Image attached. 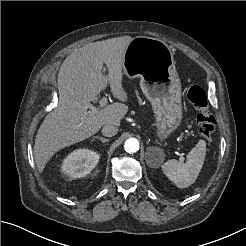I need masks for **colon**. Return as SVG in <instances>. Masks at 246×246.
Returning <instances> with one entry per match:
<instances>
[{
	"label": "colon",
	"mask_w": 246,
	"mask_h": 246,
	"mask_svg": "<svg viewBox=\"0 0 246 246\" xmlns=\"http://www.w3.org/2000/svg\"><path fill=\"white\" fill-rule=\"evenodd\" d=\"M187 98L197 109L196 124L199 134L211 139L215 133V119L208 107V97L201 85L190 84L187 87Z\"/></svg>",
	"instance_id": "5ec220e1"
}]
</instances>
